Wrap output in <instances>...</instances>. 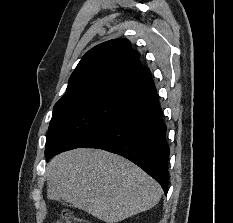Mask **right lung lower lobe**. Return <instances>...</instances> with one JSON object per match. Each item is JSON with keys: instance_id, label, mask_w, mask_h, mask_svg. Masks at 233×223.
Masks as SVG:
<instances>
[{"instance_id": "1", "label": "right lung lower lobe", "mask_w": 233, "mask_h": 223, "mask_svg": "<svg viewBox=\"0 0 233 223\" xmlns=\"http://www.w3.org/2000/svg\"><path fill=\"white\" fill-rule=\"evenodd\" d=\"M122 101L120 113L79 148H98L122 155L157 180L167 194L170 149L152 78L124 90ZM60 152L49 151L45 155L49 159Z\"/></svg>"}]
</instances>
